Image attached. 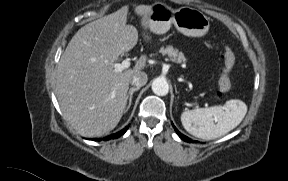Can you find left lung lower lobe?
I'll list each match as a JSON object with an SVG mask.
<instances>
[{
	"label": "left lung lower lobe",
	"mask_w": 288,
	"mask_h": 181,
	"mask_svg": "<svg viewBox=\"0 0 288 181\" xmlns=\"http://www.w3.org/2000/svg\"><path fill=\"white\" fill-rule=\"evenodd\" d=\"M172 125H173V127H174V130L176 131V133L178 134V136H179L182 140H184V141H186V142H188V143L196 142V141L191 140L189 137L183 135L182 133H180L179 130L174 126L173 123H172Z\"/></svg>",
	"instance_id": "0a47b994"
}]
</instances>
